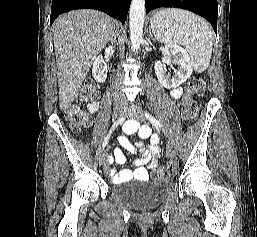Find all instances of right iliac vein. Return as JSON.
Wrapping results in <instances>:
<instances>
[{"instance_id": "63e3f726", "label": "right iliac vein", "mask_w": 257, "mask_h": 237, "mask_svg": "<svg viewBox=\"0 0 257 237\" xmlns=\"http://www.w3.org/2000/svg\"><path fill=\"white\" fill-rule=\"evenodd\" d=\"M123 113H124V108L123 107H115L114 108L113 114H114L115 118H120L123 115ZM106 160H107L106 150L103 149L101 151L100 156H99L100 165L105 164Z\"/></svg>"}]
</instances>
